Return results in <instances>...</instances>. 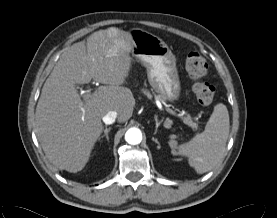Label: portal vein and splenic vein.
Returning <instances> with one entry per match:
<instances>
[{"label":"portal vein and splenic vein","mask_w":277,"mask_h":218,"mask_svg":"<svg viewBox=\"0 0 277 218\" xmlns=\"http://www.w3.org/2000/svg\"><path fill=\"white\" fill-rule=\"evenodd\" d=\"M90 94H91V93L88 92V93H86L84 96H90ZM165 110H166L169 114L183 119V117H182L181 114L176 113V112H175L174 110H172L171 108L165 107Z\"/></svg>","instance_id":"18ae733b"}]
</instances>
